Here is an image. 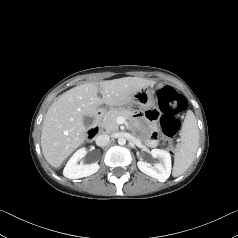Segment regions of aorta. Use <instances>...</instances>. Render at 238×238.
I'll return each mask as SVG.
<instances>
[{"label": "aorta", "instance_id": "obj_1", "mask_svg": "<svg viewBox=\"0 0 238 238\" xmlns=\"http://www.w3.org/2000/svg\"><path fill=\"white\" fill-rule=\"evenodd\" d=\"M118 144L119 145H125L126 144V139L124 137H120L118 138Z\"/></svg>", "mask_w": 238, "mask_h": 238}]
</instances>
